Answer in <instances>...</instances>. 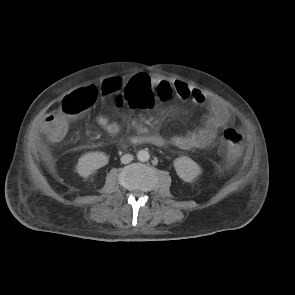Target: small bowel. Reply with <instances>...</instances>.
I'll return each mask as SVG.
<instances>
[{"mask_svg":"<svg viewBox=\"0 0 295 295\" xmlns=\"http://www.w3.org/2000/svg\"><path fill=\"white\" fill-rule=\"evenodd\" d=\"M125 86L153 87L157 90L168 86L172 94L174 93L179 99L183 101L190 100L198 105L206 106L209 111L205 126L197 131L182 135H174L168 138L158 134L140 135L133 137L131 139L132 143H149L157 147L172 145L183 150L205 149L213 144L220 129L228 125L230 121V113L223 104L214 100H208L199 89L185 82L163 79L146 73H137L125 80ZM103 94L108 95L106 93ZM123 100H125V94H123L122 100L119 103ZM54 117L55 112H52L43 120L41 127L45 133H47L48 127L53 123ZM97 121L98 124L111 135H115L120 131L119 124L111 120L105 114H100Z\"/></svg>","mask_w":295,"mask_h":295,"instance_id":"small-bowel-1","label":"small bowel"}]
</instances>
